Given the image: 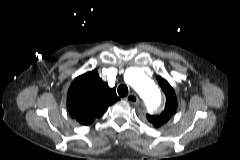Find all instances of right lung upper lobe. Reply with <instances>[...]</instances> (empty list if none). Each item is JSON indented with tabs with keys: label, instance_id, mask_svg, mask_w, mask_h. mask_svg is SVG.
Listing matches in <instances>:
<instances>
[{
	"label": "right lung upper lobe",
	"instance_id": "1",
	"mask_svg": "<svg viewBox=\"0 0 240 160\" xmlns=\"http://www.w3.org/2000/svg\"><path fill=\"white\" fill-rule=\"evenodd\" d=\"M114 88H109L97 72L78 76L67 93V109L70 115L83 125H89L118 100Z\"/></svg>",
	"mask_w": 240,
	"mask_h": 160
}]
</instances>
